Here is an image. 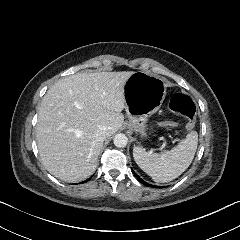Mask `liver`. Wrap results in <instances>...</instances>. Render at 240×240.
<instances>
[{
	"mask_svg": "<svg viewBox=\"0 0 240 240\" xmlns=\"http://www.w3.org/2000/svg\"><path fill=\"white\" fill-rule=\"evenodd\" d=\"M133 71L94 72L64 77L43 96L36 124L37 147L44 167L65 182L91 176L103 141L123 125L124 86Z\"/></svg>",
	"mask_w": 240,
	"mask_h": 240,
	"instance_id": "obj_1",
	"label": "liver"
}]
</instances>
